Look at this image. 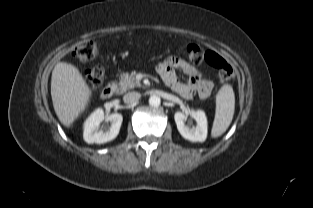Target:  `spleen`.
<instances>
[{
    "instance_id": "1",
    "label": "spleen",
    "mask_w": 313,
    "mask_h": 208,
    "mask_svg": "<svg viewBox=\"0 0 313 208\" xmlns=\"http://www.w3.org/2000/svg\"><path fill=\"white\" fill-rule=\"evenodd\" d=\"M235 110V96L230 85L221 87L216 95V111L211 136H221L229 127Z\"/></svg>"
}]
</instances>
